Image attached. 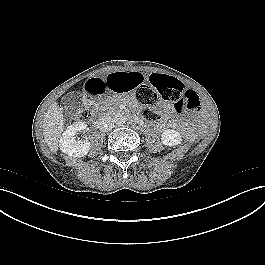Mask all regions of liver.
<instances>
[{"instance_id": "1", "label": "liver", "mask_w": 265, "mask_h": 265, "mask_svg": "<svg viewBox=\"0 0 265 265\" xmlns=\"http://www.w3.org/2000/svg\"><path fill=\"white\" fill-rule=\"evenodd\" d=\"M64 116L57 103L48 109L43 121V135L51 152L57 153L59 140L64 129Z\"/></svg>"}]
</instances>
